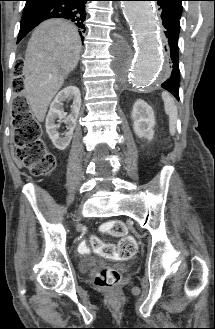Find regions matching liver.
I'll return each mask as SVG.
<instances>
[{"mask_svg": "<svg viewBox=\"0 0 215 329\" xmlns=\"http://www.w3.org/2000/svg\"><path fill=\"white\" fill-rule=\"evenodd\" d=\"M81 47L77 28L67 20H47L33 31L23 66L24 90L39 122L65 77L76 68Z\"/></svg>", "mask_w": 215, "mask_h": 329, "instance_id": "1", "label": "liver"}]
</instances>
